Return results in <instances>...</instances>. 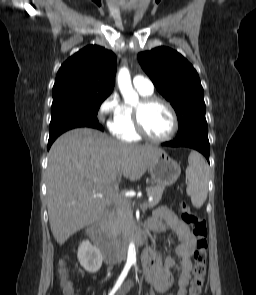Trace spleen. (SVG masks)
Listing matches in <instances>:
<instances>
[{
  "label": "spleen",
  "instance_id": "obj_1",
  "mask_svg": "<svg viewBox=\"0 0 256 295\" xmlns=\"http://www.w3.org/2000/svg\"><path fill=\"white\" fill-rule=\"evenodd\" d=\"M189 166L186 169V178L188 180L187 195L191 197L194 207L200 208L207 199L209 167L203 156L192 151L188 157Z\"/></svg>",
  "mask_w": 256,
  "mask_h": 295
}]
</instances>
